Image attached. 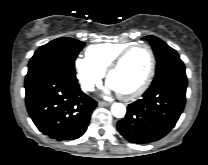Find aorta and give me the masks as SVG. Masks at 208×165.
Instances as JSON below:
<instances>
[{
  "instance_id": "obj_1",
  "label": "aorta",
  "mask_w": 208,
  "mask_h": 165,
  "mask_svg": "<svg viewBox=\"0 0 208 165\" xmlns=\"http://www.w3.org/2000/svg\"><path fill=\"white\" fill-rule=\"evenodd\" d=\"M111 112L116 118H123L126 114V107L122 103H113Z\"/></svg>"
}]
</instances>
